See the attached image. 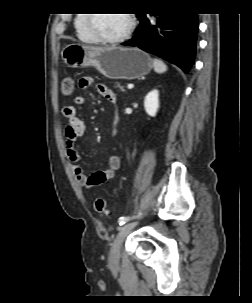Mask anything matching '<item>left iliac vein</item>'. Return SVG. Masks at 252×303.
<instances>
[{"instance_id":"obj_1","label":"left iliac vein","mask_w":252,"mask_h":303,"mask_svg":"<svg viewBox=\"0 0 252 303\" xmlns=\"http://www.w3.org/2000/svg\"><path fill=\"white\" fill-rule=\"evenodd\" d=\"M135 223H126L124 224L115 240L112 243L111 249H110V255H109V260L112 264H117L119 262V258H120V249L122 246V243L124 241V239L126 238L127 234L130 232V230L135 226Z\"/></svg>"}]
</instances>
